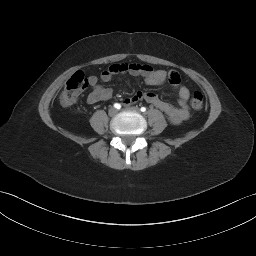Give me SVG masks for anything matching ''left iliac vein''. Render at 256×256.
<instances>
[{
  "label": "left iliac vein",
  "instance_id": "1",
  "mask_svg": "<svg viewBox=\"0 0 256 256\" xmlns=\"http://www.w3.org/2000/svg\"><path fill=\"white\" fill-rule=\"evenodd\" d=\"M125 110L126 111L136 112V113L140 112L139 108H137V107H127Z\"/></svg>",
  "mask_w": 256,
  "mask_h": 256
}]
</instances>
